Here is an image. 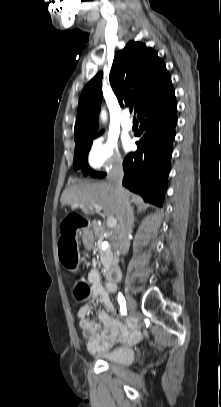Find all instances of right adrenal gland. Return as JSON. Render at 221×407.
Returning a JSON list of instances; mask_svg holds the SVG:
<instances>
[{
  "mask_svg": "<svg viewBox=\"0 0 221 407\" xmlns=\"http://www.w3.org/2000/svg\"><path fill=\"white\" fill-rule=\"evenodd\" d=\"M131 218L133 220V222L135 221V215H134V207L131 210Z\"/></svg>",
  "mask_w": 221,
  "mask_h": 407,
  "instance_id": "2a0ac1e0",
  "label": "right adrenal gland"
}]
</instances>
